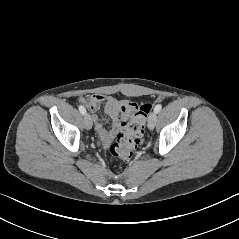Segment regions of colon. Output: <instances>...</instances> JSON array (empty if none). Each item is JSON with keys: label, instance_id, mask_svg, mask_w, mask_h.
<instances>
[{"label": "colon", "instance_id": "1", "mask_svg": "<svg viewBox=\"0 0 239 239\" xmlns=\"http://www.w3.org/2000/svg\"><path fill=\"white\" fill-rule=\"evenodd\" d=\"M150 109L151 105H142L129 121L122 123V130L110 147L111 154L114 157L124 161H129L132 158L134 151L141 142L146 116Z\"/></svg>", "mask_w": 239, "mask_h": 239}]
</instances>
